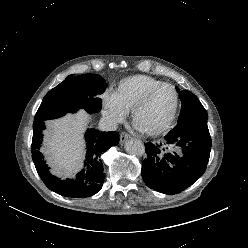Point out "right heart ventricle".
Returning a JSON list of instances; mask_svg holds the SVG:
<instances>
[{"instance_id": "e07e8e85", "label": "right heart ventricle", "mask_w": 248, "mask_h": 248, "mask_svg": "<svg viewBox=\"0 0 248 248\" xmlns=\"http://www.w3.org/2000/svg\"><path fill=\"white\" fill-rule=\"evenodd\" d=\"M160 83V80L148 75L128 76L119 81L113 95L119 105L129 112L149 89Z\"/></svg>"}]
</instances>
